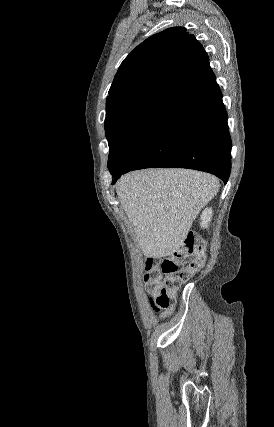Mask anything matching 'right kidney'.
Masks as SVG:
<instances>
[{
    "label": "right kidney",
    "mask_w": 274,
    "mask_h": 427,
    "mask_svg": "<svg viewBox=\"0 0 274 427\" xmlns=\"http://www.w3.org/2000/svg\"><path fill=\"white\" fill-rule=\"evenodd\" d=\"M212 215H213V212H212L211 208H205V210H203L201 217H200L201 227H208V223H209V221H211Z\"/></svg>",
    "instance_id": "obj_1"
}]
</instances>
